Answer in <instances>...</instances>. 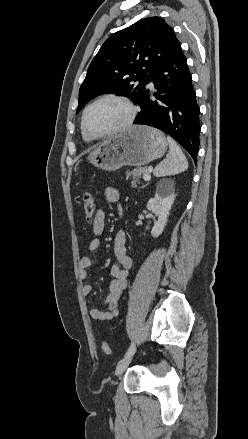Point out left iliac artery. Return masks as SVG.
<instances>
[{
  "mask_svg": "<svg viewBox=\"0 0 248 439\" xmlns=\"http://www.w3.org/2000/svg\"><path fill=\"white\" fill-rule=\"evenodd\" d=\"M134 352H135V345L132 343L126 352L125 357H127L129 355H133Z\"/></svg>",
  "mask_w": 248,
  "mask_h": 439,
  "instance_id": "obj_1",
  "label": "left iliac artery"
}]
</instances>
